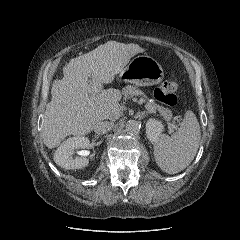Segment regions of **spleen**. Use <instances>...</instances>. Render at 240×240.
<instances>
[{
    "label": "spleen",
    "instance_id": "3e777b00",
    "mask_svg": "<svg viewBox=\"0 0 240 240\" xmlns=\"http://www.w3.org/2000/svg\"><path fill=\"white\" fill-rule=\"evenodd\" d=\"M200 137L199 122L189 110L173 137L163 134L154 142L157 165L169 174L182 171L193 161L199 148Z\"/></svg>",
    "mask_w": 240,
    "mask_h": 240
}]
</instances>
